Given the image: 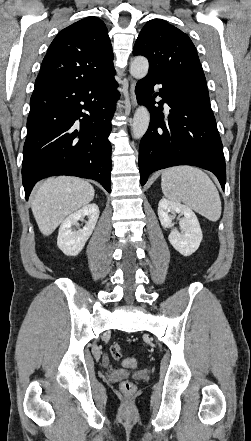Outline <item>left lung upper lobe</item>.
Masks as SVG:
<instances>
[{
  "label": "left lung upper lobe",
  "instance_id": "5c2ea615",
  "mask_svg": "<svg viewBox=\"0 0 251 441\" xmlns=\"http://www.w3.org/2000/svg\"><path fill=\"white\" fill-rule=\"evenodd\" d=\"M149 61V74L177 77L206 86L194 44L187 34L162 19L142 28L133 49Z\"/></svg>",
  "mask_w": 251,
  "mask_h": 441
}]
</instances>
